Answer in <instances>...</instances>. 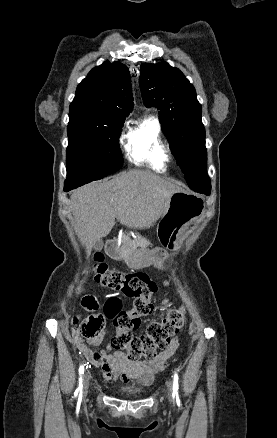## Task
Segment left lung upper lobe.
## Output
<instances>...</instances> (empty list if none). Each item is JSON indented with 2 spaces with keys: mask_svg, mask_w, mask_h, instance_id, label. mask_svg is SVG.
Returning <instances> with one entry per match:
<instances>
[{
  "mask_svg": "<svg viewBox=\"0 0 277 438\" xmlns=\"http://www.w3.org/2000/svg\"><path fill=\"white\" fill-rule=\"evenodd\" d=\"M140 69L144 103L160 109L162 130L189 187L209 195L202 107L193 85L179 69L166 62L143 63Z\"/></svg>",
  "mask_w": 277,
  "mask_h": 438,
  "instance_id": "obj_1",
  "label": "left lung upper lobe"
}]
</instances>
